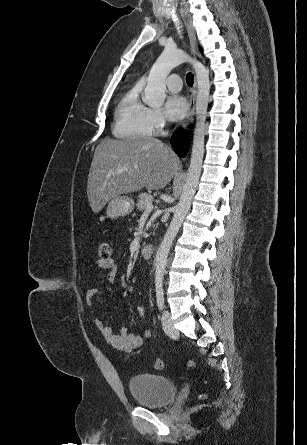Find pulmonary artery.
Instances as JSON below:
<instances>
[{
  "mask_svg": "<svg viewBox=\"0 0 307 445\" xmlns=\"http://www.w3.org/2000/svg\"><path fill=\"white\" fill-rule=\"evenodd\" d=\"M181 79H182V74L177 70L173 71L167 80L168 88L173 92L180 91V89L182 88V83L180 81H174V80H181Z\"/></svg>",
  "mask_w": 307,
  "mask_h": 445,
  "instance_id": "obj_1",
  "label": "pulmonary artery"
}]
</instances>
